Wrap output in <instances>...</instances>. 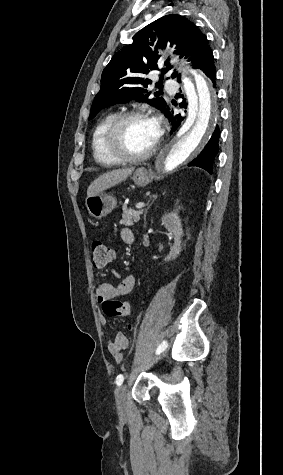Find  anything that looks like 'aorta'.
I'll list each match as a JSON object with an SVG mask.
<instances>
[{"label": "aorta", "instance_id": "1", "mask_svg": "<svg viewBox=\"0 0 283 475\" xmlns=\"http://www.w3.org/2000/svg\"><path fill=\"white\" fill-rule=\"evenodd\" d=\"M194 84L184 78L188 100V116L172 140L158 153L156 169L170 173L193 159L205 146L218 117L215 91L209 80L190 69Z\"/></svg>", "mask_w": 283, "mask_h": 475}]
</instances>
